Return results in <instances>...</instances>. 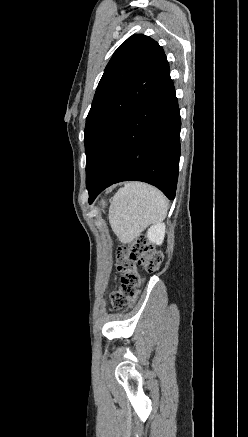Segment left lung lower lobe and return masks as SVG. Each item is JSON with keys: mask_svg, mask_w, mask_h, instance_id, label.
I'll use <instances>...</instances> for the list:
<instances>
[{"mask_svg": "<svg viewBox=\"0 0 248 437\" xmlns=\"http://www.w3.org/2000/svg\"><path fill=\"white\" fill-rule=\"evenodd\" d=\"M180 128L178 101L168 75L116 134L95 179L87 188L89 203L105 188L127 180L147 182L174 199Z\"/></svg>", "mask_w": 248, "mask_h": 437, "instance_id": "obj_1", "label": "left lung lower lobe"}]
</instances>
